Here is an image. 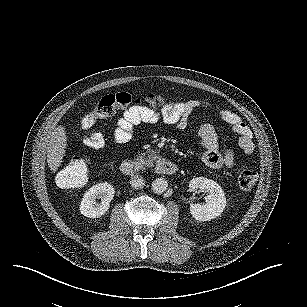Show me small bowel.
Instances as JSON below:
<instances>
[{"mask_svg": "<svg viewBox=\"0 0 307 307\" xmlns=\"http://www.w3.org/2000/svg\"><path fill=\"white\" fill-rule=\"evenodd\" d=\"M199 107H212V105L206 101L193 99L169 103L161 110L145 106H132L117 120L113 132V141L118 145L124 144L131 139L135 126L143 123L155 124L160 120L175 126L177 129H185L192 112ZM217 110L221 120L238 135V143L241 149L246 154H252L255 145L249 127L233 111L219 108ZM199 136L204 147L202 160L206 165L211 168L234 167L236 158L233 150L220 149L217 134L210 125L201 126Z\"/></svg>", "mask_w": 307, "mask_h": 307, "instance_id": "1", "label": "small bowel"}]
</instances>
